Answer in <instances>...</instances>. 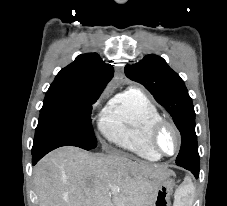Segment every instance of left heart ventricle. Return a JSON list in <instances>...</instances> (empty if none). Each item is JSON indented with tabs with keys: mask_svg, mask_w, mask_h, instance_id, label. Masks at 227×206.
<instances>
[{
	"mask_svg": "<svg viewBox=\"0 0 227 206\" xmlns=\"http://www.w3.org/2000/svg\"><path fill=\"white\" fill-rule=\"evenodd\" d=\"M176 144L174 132L169 127L163 128L158 135V146L161 151L166 154H172L176 149Z\"/></svg>",
	"mask_w": 227,
	"mask_h": 206,
	"instance_id": "obj_1",
	"label": "left heart ventricle"
}]
</instances>
